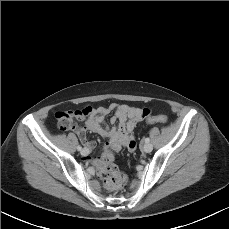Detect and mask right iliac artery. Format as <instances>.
Listing matches in <instances>:
<instances>
[{"label":"right iliac artery","instance_id":"82829eb1","mask_svg":"<svg viewBox=\"0 0 229 229\" xmlns=\"http://www.w3.org/2000/svg\"><path fill=\"white\" fill-rule=\"evenodd\" d=\"M82 147L80 145L77 146V150L81 151Z\"/></svg>","mask_w":229,"mask_h":229}]
</instances>
